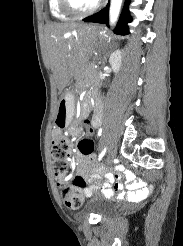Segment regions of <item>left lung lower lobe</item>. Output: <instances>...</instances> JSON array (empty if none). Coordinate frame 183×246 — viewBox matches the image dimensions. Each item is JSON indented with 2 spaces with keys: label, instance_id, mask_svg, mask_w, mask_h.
Instances as JSON below:
<instances>
[{
  "label": "left lung lower lobe",
  "instance_id": "obj_1",
  "mask_svg": "<svg viewBox=\"0 0 183 246\" xmlns=\"http://www.w3.org/2000/svg\"><path fill=\"white\" fill-rule=\"evenodd\" d=\"M129 1L130 0L125 1V6L123 9V12L120 16L119 22H118L115 30H114V32L116 34H119V35L129 34L127 23L132 21L131 16L129 15V11H128ZM83 21L103 23V24L107 23V26H109V23H108V6L105 9H102L101 11H99L98 13H96L92 16L84 18Z\"/></svg>",
  "mask_w": 183,
  "mask_h": 246
}]
</instances>
